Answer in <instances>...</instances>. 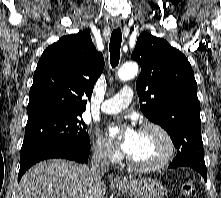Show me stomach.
<instances>
[{
    "mask_svg": "<svg viewBox=\"0 0 221 198\" xmlns=\"http://www.w3.org/2000/svg\"><path fill=\"white\" fill-rule=\"evenodd\" d=\"M117 188L132 198H162L165 193L163 185L155 179H130L117 183Z\"/></svg>",
    "mask_w": 221,
    "mask_h": 198,
    "instance_id": "0dacf381",
    "label": "stomach"
}]
</instances>
